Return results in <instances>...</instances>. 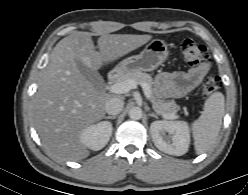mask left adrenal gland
Masks as SVG:
<instances>
[{
    "label": "left adrenal gland",
    "mask_w": 248,
    "mask_h": 195,
    "mask_svg": "<svg viewBox=\"0 0 248 195\" xmlns=\"http://www.w3.org/2000/svg\"><path fill=\"white\" fill-rule=\"evenodd\" d=\"M148 115L151 116V117H154V118H156V119L158 118V116H157L154 112L149 113Z\"/></svg>",
    "instance_id": "1"
}]
</instances>
